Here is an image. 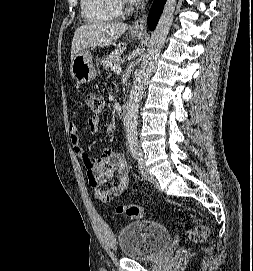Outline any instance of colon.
I'll return each instance as SVG.
<instances>
[{
    "label": "colon",
    "mask_w": 253,
    "mask_h": 271,
    "mask_svg": "<svg viewBox=\"0 0 253 271\" xmlns=\"http://www.w3.org/2000/svg\"><path fill=\"white\" fill-rule=\"evenodd\" d=\"M85 99L88 106L94 113H100L102 111L103 106H104V101L101 95L94 92H89L86 94ZM117 212L124 213L132 219H140L142 218V215H143L142 208L135 204H126V205L118 206ZM208 234H209V229L207 226L203 224H197L188 232V238L192 242L200 243L207 239ZM185 253H186L185 250L181 251L182 255Z\"/></svg>",
    "instance_id": "colon-1"
}]
</instances>
